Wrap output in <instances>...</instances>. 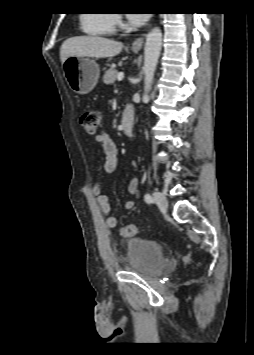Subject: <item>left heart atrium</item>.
<instances>
[{"mask_svg":"<svg viewBox=\"0 0 254 355\" xmlns=\"http://www.w3.org/2000/svg\"><path fill=\"white\" fill-rule=\"evenodd\" d=\"M128 21L133 26H141L148 18L146 13H130L127 15Z\"/></svg>","mask_w":254,"mask_h":355,"instance_id":"39dd6f15","label":"left heart atrium"}]
</instances>
